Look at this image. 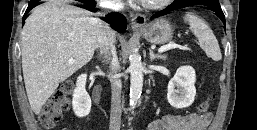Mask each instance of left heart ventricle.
<instances>
[{
	"mask_svg": "<svg viewBox=\"0 0 257 130\" xmlns=\"http://www.w3.org/2000/svg\"><path fill=\"white\" fill-rule=\"evenodd\" d=\"M148 2H152V1H155V0H147Z\"/></svg>",
	"mask_w": 257,
	"mask_h": 130,
	"instance_id": "1",
	"label": "left heart ventricle"
}]
</instances>
